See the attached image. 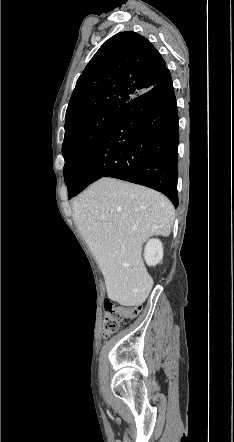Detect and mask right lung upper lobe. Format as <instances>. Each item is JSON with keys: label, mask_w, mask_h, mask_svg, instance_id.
<instances>
[{"label": "right lung upper lobe", "mask_w": 234, "mask_h": 442, "mask_svg": "<svg viewBox=\"0 0 234 442\" xmlns=\"http://www.w3.org/2000/svg\"><path fill=\"white\" fill-rule=\"evenodd\" d=\"M167 70L161 54L131 31L108 39L79 77L66 111L65 125L106 108H121L151 89Z\"/></svg>", "instance_id": "right-lung-upper-lobe-1"}]
</instances>
